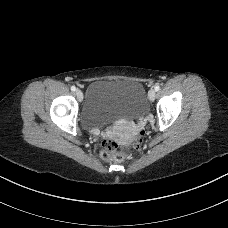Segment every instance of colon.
I'll use <instances>...</instances> for the list:
<instances>
[{"mask_svg": "<svg viewBox=\"0 0 228 228\" xmlns=\"http://www.w3.org/2000/svg\"><path fill=\"white\" fill-rule=\"evenodd\" d=\"M144 132L141 131L140 135ZM140 139H138L131 149H125L121 147L115 140L113 139H106L103 142V148L101 151V157L105 161H122L131 159L134 155L136 150L139 148Z\"/></svg>", "mask_w": 228, "mask_h": 228, "instance_id": "obj_1", "label": "colon"}]
</instances>
